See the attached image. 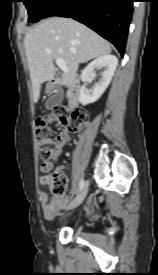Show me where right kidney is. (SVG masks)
<instances>
[{
	"label": "right kidney",
	"mask_w": 158,
	"mask_h": 275,
	"mask_svg": "<svg viewBox=\"0 0 158 275\" xmlns=\"http://www.w3.org/2000/svg\"><path fill=\"white\" fill-rule=\"evenodd\" d=\"M117 65L118 59L114 55L108 54L98 57L83 70L81 79L83 82H87L94 75L96 68H105L101 74V79L91 90L86 89V83L81 87L79 101L82 105L93 103L102 96L112 80Z\"/></svg>",
	"instance_id": "1"
}]
</instances>
